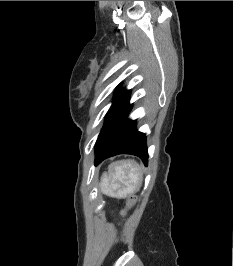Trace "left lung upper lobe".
Returning <instances> with one entry per match:
<instances>
[{
  "label": "left lung upper lobe",
  "instance_id": "obj_1",
  "mask_svg": "<svg viewBox=\"0 0 233 266\" xmlns=\"http://www.w3.org/2000/svg\"><path fill=\"white\" fill-rule=\"evenodd\" d=\"M121 93V91H119L116 95L118 96Z\"/></svg>",
  "mask_w": 233,
  "mask_h": 266
}]
</instances>
